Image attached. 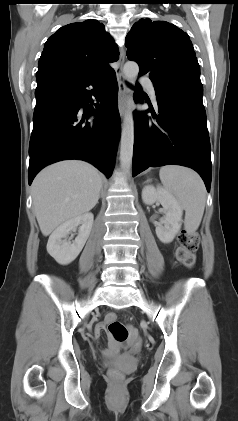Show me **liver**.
<instances>
[{
	"mask_svg": "<svg viewBox=\"0 0 238 421\" xmlns=\"http://www.w3.org/2000/svg\"><path fill=\"white\" fill-rule=\"evenodd\" d=\"M102 177L83 161L68 160L44 168L32 184L34 212L44 236L90 211L98 202Z\"/></svg>",
	"mask_w": 238,
	"mask_h": 421,
	"instance_id": "1",
	"label": "liver"
}]
</instances>
